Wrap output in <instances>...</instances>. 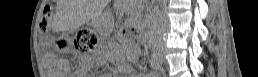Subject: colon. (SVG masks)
Listing matches in <instances>:
<instances>
[{"label": "colon", "mask_w": 258, "mask_h": 77, "mask_svg": "<svg viewBox=\"0 0 258 77\" xmlns=\"http://www.w3.org/2000/svg\"><path fill=\"white\" fill-rule=\"evenodd\" d=\"M51 21V10L45 8L43 11L40 28L43 31H46L50 27ZM97 41L96 34L90 30L82 29L78 31L71 43H65V47H73L77 50H88L92 48Z\"/></svg>", "instance_id": "obj_1"}]
</instances>
